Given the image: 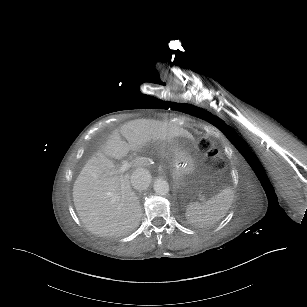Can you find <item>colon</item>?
<instances>
[{
  "instance_id": "colon-1",
  "label": "colon",
  "mask_w": 307,
  "mask_h": 307,
  "mask_svg": "<svg viewBox=\"0 0 307 307\" xmlns=\"http://www.w3.org/2000/svg\"><path fill=\"white\" fill-rule=\"evenodd\" d=\"M198 146L201 151L207 152V157L205 159V164L207 167H217V169L220 171H225L228 169L229 162L227 159H225L224 152L212 148V143L210 140L203 138L199 141Z\"/></svg>"
}]
</instances>
